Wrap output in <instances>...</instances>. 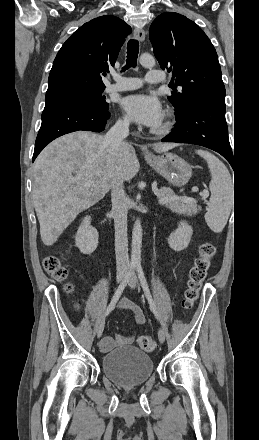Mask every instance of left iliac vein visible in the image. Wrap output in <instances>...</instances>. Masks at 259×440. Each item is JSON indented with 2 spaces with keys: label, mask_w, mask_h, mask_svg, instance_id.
<instances>
[{
  "label": "left iliac vein",
  "mask_w": 259,
  "mask_h": 440,
  "mask_svg": "<svg viewBox=\"0 0 259 440\" xmlns=\"http://www.w3.org/2000/svg\"><path fill=\"white\" fill-rule=\"evenodd\" d=\"M128 284L131 288L137 287V277L134 272L132 273ZM158 339H159L160 343H164V341H165V332L162 328H160L158 331Z\"/></svg>",
  "instance_id": "4c4485c4"
}]
</instances>
